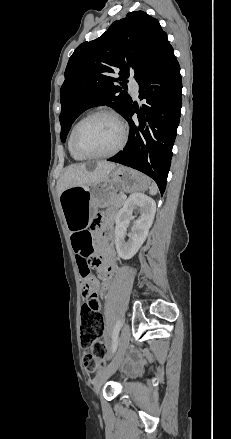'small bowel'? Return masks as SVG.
<instances>
[{
    "label": "small bowel",
    "instance_id": "c3829d8e",
    "mask_svg": "<svg viewBox=\"0 0 231 439\" xmlns=\"http://www.w3.org/2000/svg\"><path fill=\"white\" fill-rule=\"evenodd\" d=\"M108 219L111 220V216ZM71 244L80 273L91 260L93 253L100 259V289L105 291L109 287L111 277L117 268V257L112 243L106 238L94 240L89 230L77 229L71 234ZM86 283H94V281L88 279ZM83 294L87 297L84 304L99 312L101 304L96 294L95 283L92 291L86 290L83 285Z\"/></svg>",
    "mask_w": 231,
    "mask_h": 439
}]
</instances>
